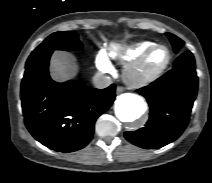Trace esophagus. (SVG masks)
Wrapping results in <instances>:
<instances>
[{"label":"esophagus","mask_w":212,"mask_h":183,"mask_svg":"<svg viewBox=\"0 0 212 183\" xmlns=\"http://www.w3.org/2000/svg\"><path fill=\"white\" fill-rule=\"evenodd\" d=\"M123 91H124V88H123L122 86H118V87L116 88L117 94H120V93H122Z\"/></svg>","instance_id":"esophagus-1"}]
</instances>
